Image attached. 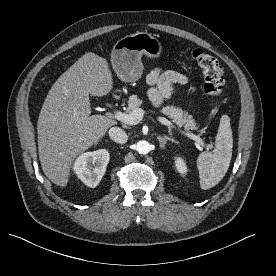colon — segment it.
Here are the masks:
<instances>
[{"instance_id": "5ec220e1", "label": "colon", "mask_w": 276, "mask_h": 276, "mask_svg": "<svg viewBox=\"0 0 276 276\" xmlns=\"http://www.w3.org/2000/svg\"><path fill=\"white\" fill-rule=\"evenodd\" d=\"M191 56L203 73V91L206 94L207 100L215 104L220 103L225 80L218 60L199 48L193 49Z\"/></svg>"}]
</instances>
